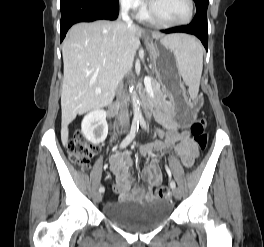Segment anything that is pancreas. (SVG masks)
Masks as SVG:
<instances>
[{
	"mask_svg": "<svg viewBox=\"0 0 264 247\" xmlns=\"http://www.w3.org/2000/svg\"><path fill=\"white\" fill-rule=\"evenodd\" d=\"M151 85L154 90L155 96L157 98V101H155L154 105L157 106L158 102H164V96H163V91L160 87V82L157 81L156 79L151 78Z\"/></svg>",
	"mask_w": 264,
	"mask_h": 247,
	"instance_id": "1",
	"label": "pancreas"
}]
</instances>
